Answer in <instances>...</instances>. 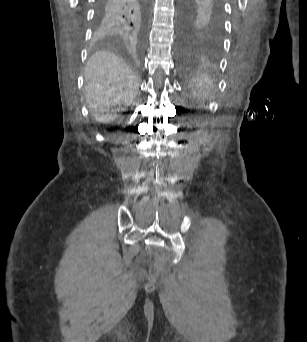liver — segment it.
<instances>
[{"label": "liver", "mask_w": 307, "mask_h": 342, "mask_svg": "<svg viewBox=\"0 0 307 342\" xmlns=\"http://www.w3.org/2000/svg\"><path fill=\"white\" fill-rule=\"evenodd\" d=\"M85 98L96 122L109 124L118 118L113 106H131L137 96L138 76L112 52H96L84 72Z\"/></svg>", "instance_id": "6515ba94"}]
</instances>
